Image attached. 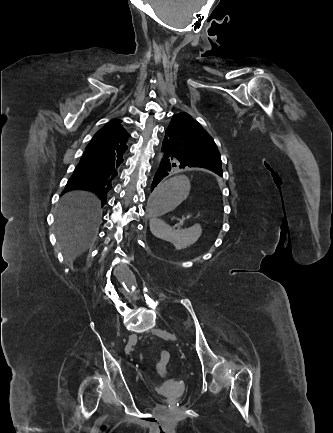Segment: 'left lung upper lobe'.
<instances>
[{"instance_id": "left-lung-upper-lobe-1", "label": "left lung upper lobe", "mask_w": 333, "mask_h": 433, "mask_svg": "<svg viewBox=\"0 0 333 433\" xmlns=\"http://www.w3.org/2000/svg\"><path fill=\"white\" fill-rule=\"evenodd\" d=\"M173 151L182 157L223 176L221 157L214 140L187 113H178L165 132Z\"/></svg>"}]
</instances>
